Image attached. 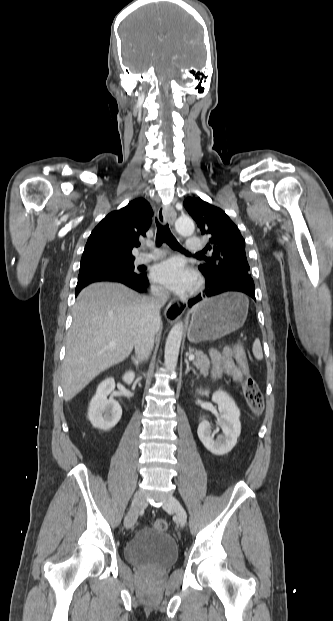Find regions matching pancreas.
I'll return each instance as SVG.
<instances>
[{"label": "pancreas", "mask_w": 333, "mask_h": 621, "mask_svg": "<svg viewBox=\"0 0 333 621\" xmlns=\"http://www.w3.org/2000/svg\"><path fill=\"white\" fill-rule=\"evenodd\" d=\"M189 354H193L195 356V360L193 361L194 366L200 371L201 374L207 376L210 368V360L207 355L202 351L193 348H189Z\"/></svg>", "instance_id": "cf45deb5"}]
</instances>
